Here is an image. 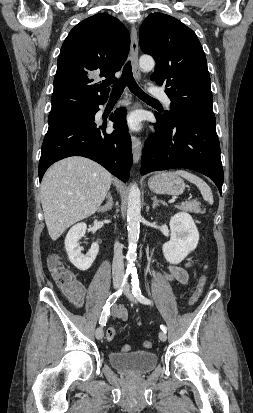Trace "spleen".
Returning <instances> with one entry per match:
<instances>
[{"mask_svg":"<svg viewBox=\"0 0 253 413\" xmlns=\"http://www.w3.org/2000/svg\"><path fill=\"white\" fill-rule=\"evenodd\" d=\"M175 173L177 175L182 176L183 178H185L189 182L195 184L198 187V189L200 190L204 200L207 201L211 205L213 204L214 200H213L212 191H211L210 187L208 186V184L204 180H202L201 178H199L195 174H192V173H190L186 170H177Z\"/></svg>","mask_w":253,"mask_h":413,"instance_id":"1","label":"spleen"}]
</instances>
